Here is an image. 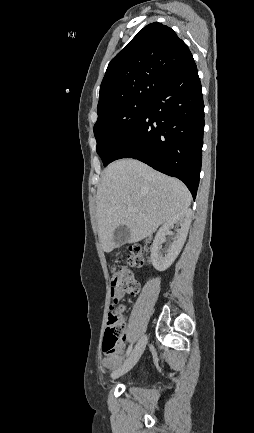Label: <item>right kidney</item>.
Returning <instances> with one entry per match:
<instances>
[{
    "mask_svg": "<svg viewBox=\"0 0 254 433\" xmlns=\"http://www.w3.org/2000/svg\"><path fill=\"white\" fill-rule=\"evenodd\" d=\"M192 212L190 209L179 212L171 217L157 232L151 249V261L154 268L158 271L168 269L180 253L191 223ZM177 226V233L174 241L169 248L162 250L165 237L170 233V229Z\"/></svg>",
    "mask_w": 254,
    "mask_h": 433,
    "instance_id": "obj_1",
    "label": "right kidney"
}]
</instances>
